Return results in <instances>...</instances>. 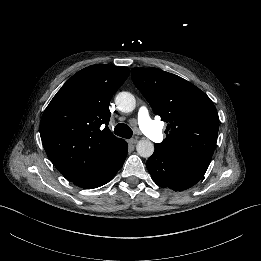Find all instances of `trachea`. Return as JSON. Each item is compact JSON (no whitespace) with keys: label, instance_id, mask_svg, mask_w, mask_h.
<instances>
[{"label":"trachea","instance_id":"1","mask_svg":"<svg viewBox=\"0 0 261 261\" xmlns=\"http://www.w3.org/2000/svg\"><path fill=\"white\" fill-rule=\"evenodd\" d=\"M114 133L125 139H130L133 135L132 129L124 123H119L116 125Z\"/></svg>","mask_w":261,"mask_h":261}]
</instances>
